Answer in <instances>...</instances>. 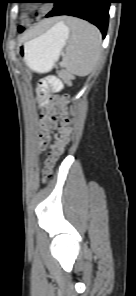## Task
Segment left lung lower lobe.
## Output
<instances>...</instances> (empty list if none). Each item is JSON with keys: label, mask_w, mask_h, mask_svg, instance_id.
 Returning a JSON list of instances; mask_svg holds the SVG:
<instances>
[{"label": "left lung lower lobe", "mask_w": 136, "mask_h": 296, "mask_svg": "<svg viewBox=\"0 0 136 296\" xmlns=\"http://www.w3.org/2000/svg\"><path fill=\"white\" fill-rule=\"evenodd\" d=\"M54 8L46 17L69 15L85 19L96 25L106 36L109 4L111 0H52ZM20 32L23 29L19 30Z\"/></svg>", "instance_id": "left-lung-lower-lobe-1"}]
</instances>
